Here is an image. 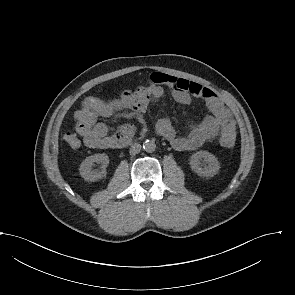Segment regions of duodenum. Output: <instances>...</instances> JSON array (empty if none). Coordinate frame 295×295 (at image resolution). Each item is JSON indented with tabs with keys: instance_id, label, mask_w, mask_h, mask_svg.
I'll use <instances>...</instances> for the list:
<instances>
[{
	"instance_id": "410a0bca",
	"label": "duodenum",
	"mask_w": 295,
	"mask_h": 295,
	"mask_svg": "<svg viewBox=\"0 0 295 295\" xmlns=\"http://www.w3.org/2000/svg\"><path fill=\"white\" fill-rule=\"evenodd\" d=\"M130 138H121L116 142V146L121 147V146H125L129 143Z\"/></svg>"
}]
</instances>
